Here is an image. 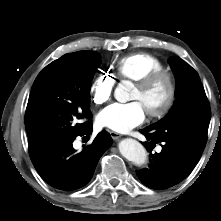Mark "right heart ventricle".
<instances>
[{"label":"right heart ventricle","instance_id":"e07e8e85","mask_svg":"<svg viewBox=\"0 0 221 221\" xmlns=\"http://www.w3.org/2000/svg\"><path fill=\"white\" fill-rule=\"evenodd\" d=\"M115 68L120 78L137 81L152 71L163 69L164 64L160 58L152 54L138 52L120 58Z\"/></svg>","mask_w":221,"mask_h":221}]
</instances>
